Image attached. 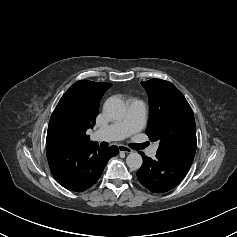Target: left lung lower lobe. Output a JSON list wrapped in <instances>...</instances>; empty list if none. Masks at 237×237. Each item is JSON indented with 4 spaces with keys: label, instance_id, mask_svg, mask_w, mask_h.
I'll return each mask as SVG.
<instances>
[{
    "label": "left lung lower lobe",
    "instance_id": "obj_1",
    "mask_svg": "<svg viewBox=\"0 0 237 237\" xmlns=\"http://www.w3.org/2000/svg\"><path fill=\"white\" fill-rule=\"evenodd\" d=\"M137 171L140 183L154 193H162L176 187L187 174L191 164L156 154V160L144 156Z\"/></svg>",
    "mask_w": 237,
    "mask_h": 237
}]
</instances>
